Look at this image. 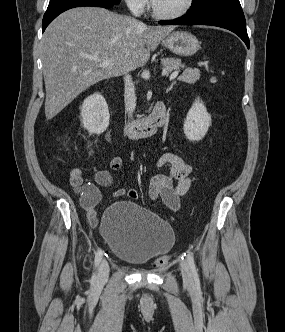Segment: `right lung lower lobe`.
Listing matches in <instances>:
<instances>
[{
    "label": "right lung lower lobe",
    "instance_id": "1",
    "mask_svg": "<svg viewBox=\"0 0 285 332\" xmlns=\"http://www.w3.org/2000/svg\"><path fill=\"white\" fill-rule=\"evenodd\" d=\"M116 4H108L98 0H56L49 3L46 13L43 17L42 32L62 12L80 6H94L110 8Z\"/></svg>",
    "mask_w": 285,
    "mask_h": 332
}]
</instances>
